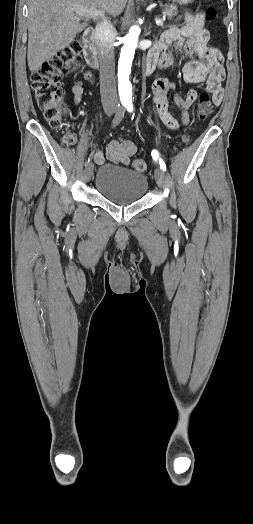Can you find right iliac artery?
Returning <instances> with one entry per match:
<instances>
[{
  "label": "right iliac artery",
  "instance_id": "right-iliac-artery-1",
  "mask_svg": "<svg viewBox=\"0 0 253 524\" xmlns=\"http://www.w3.org/2000/svg\"><path fill=\"white\" fill-rule=\"evenodd\" d=\"M124 114H125V104H122V105L119 104L116 114L112 120V124H111L112 128L116 127L121 122ZM92 157H93V153H91L88 159L86 160L85 162L86 166L90 163V161L92 160Z\"/></svg>",
  "mask_w": 253,
  "mask_h": 524
}]
</instances>
